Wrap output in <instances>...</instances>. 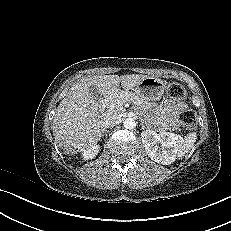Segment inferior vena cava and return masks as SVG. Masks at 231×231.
Returning a JSON list of instances; mask_svg holds the SVG:
<instances>
[{
    "label": "inferior vena cava",
    "instance_id": "inferior-vena-cava-1",
    "mask_svg": "<svg viewBox=\"0 0 231 231\" xmlns=\"http://www.w3.org/2000/svg\"><path fill=\"white\" fill-rule=\"evenodd\" d=\"M118 120V117L114 114H109L106 117H104L103 120V127L104 128H110L112 127Z\"/></svg>",
    "mask_w": 231,
    "mask_h": 231
}]
</instances>
